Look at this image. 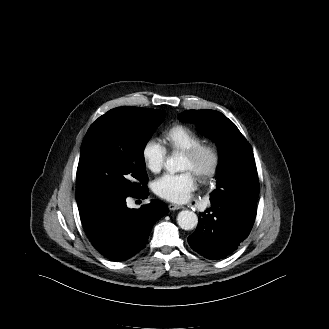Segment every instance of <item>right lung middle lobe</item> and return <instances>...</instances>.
<instances>
[{
  "mask_svg": "<svg viewBox=\"0 0 329 329\" xmlns=\"http://www.w3.org/2000/svg\"><path fill=\"white\" fill-rule=\"evenodd\" d=\"M164 118L157 109L117 107L99 117L82 142L77 168L81 199L106 189L137 195L148 179L143 151Z\"/></svg>",
  "mask_w": 329,
  "mask_h": 329,
  "instance_id": "obj_1",
  "label": "right lung middle lobe"
}]
</instances>
